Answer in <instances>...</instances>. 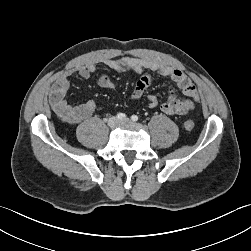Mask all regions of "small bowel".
I'll return each mask as SVG.
<instances>
[{
  "instance_id": "c3829d8e",
  "label": "small bowel",
  "mask_w": 251,
  "mask_h": 251,
  "mask_svg": "<svg viewBox=\"0 0 251 251\" xmlns=\"http://www.w3.org/2000/svg\"><path fill=\"white\" fill-rule=\"evenodd\" d=\"M103 64L118 72H132L136 74L150 71L164 77L170 78L182 91L183 96L179 98L169 91L165 101L160 102L157 96L150 95L147 98V106L151 109L160 106L161 110L168 115H185L195 108L199 100L196 86L192 80L181 70L166 65L162 62L138 57L124 56L116 59H106ZM96 66L87 64L73 71L63 74L52 84L49 91V101L56 116L68 124H78L91 117L96 110L94 100H89L81 105H72L66 100V94L70 88L69 77L76 73L83 79H88L95 73ZM152 77L148 74L143 75L137 80L132 93V100L138 101L146 89L151 84ZM97 84L105 89L113 90L114 82L107 75H100Z\"/></svg>"
}]
</instances>
